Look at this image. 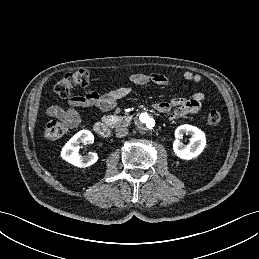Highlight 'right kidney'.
<instances>
[{"label": "right kidney", "mask_w": 259, "mask_h": 259, "mask_svg": "<svg viewBox=\"0 0 259 259\" xmlns=\"http://www.w3.org/2000/svg\"><path fill=\"white\" fill-rule=\"evenodd\" d=\"M94 136L89 130H81L76 133L63 147L61 157L74 166L83 168L94 164L98 160V156L94 152H89L88 155L79 154V144L88 142L93 143Z\"/></svg>", "instance_id": "1"}]
</instances>
